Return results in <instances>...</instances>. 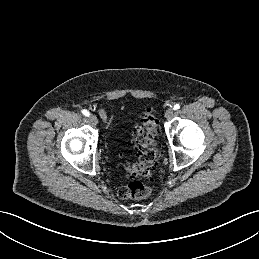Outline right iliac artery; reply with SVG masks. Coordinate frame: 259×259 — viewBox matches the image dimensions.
I'll return each instance as SVG.
<instances>
[{
	"label": "right iliac artery",
	"mask_w": 259,
	"mask_h": 259,
	"mask_svg": "<svg viewBox=\"0 0 259 259\" xmlns=\"http://www.w3.org/2000/svg\"><path fill=\"white\" fill-rule=\"evenodd\" d=\"M82 113H83V115H85V116H89V112H88L87 110H83Z\"/></svg>",
	"instance_id": "obj_1"
}]
</instances>
